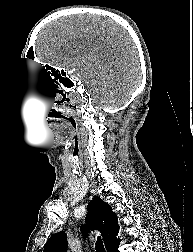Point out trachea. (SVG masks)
Here are the masks:
<instances>
[{
	"label": "trachea",
	"instance_id": "trachea-1",
	"mask_svg": "<svg viewBox=\"0 0 193 252\" xmlns=\"http://www.w3.org/2000/svg\"><path fill=\"white\" fill-rule=\"evenodd\" d=\"M96 250H97V252H106L104 245H103V242H102V239L100 237H98L97 241H96Z\"/></svg>",
	"mask_w": 193,
	"mask_h": 252
}]
</instances>
